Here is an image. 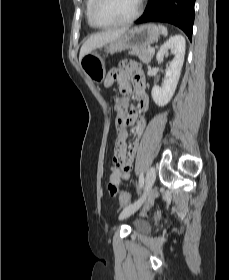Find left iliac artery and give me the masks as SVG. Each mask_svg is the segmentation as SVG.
Returning a JSON list of instances; mask_svg holds the SVG:
<instances>
[{"label": "left iliac artery", "instance_id": "obj_1", "mask_svg": "<svg viewBox=\"0 0 229 280\" xmlns=\"http://www.w3.org/2000/svg\"><path fill=\"white\" fill-rule=\"evenodd\" d=\"M143 184H144V176L143 173H141L138 181L139 189L142 188Z\"/></svg>", "mask_w": 229, "mask_h": 280}]
</instances>
